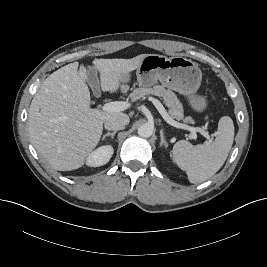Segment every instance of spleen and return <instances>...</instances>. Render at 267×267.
<instances>
[{"mask_svg":"<svg viewBox=\"0 0 267 267\" xmlns=\"http://www.w3.org/2000/svg\"><path fill=\"white\" fill-rule=\"evenodd\" d=\"M233 140V120L229 116H223L218 123L217 136L211 144L194 146L188 141L180 140L173 146V159L186 172L191 183H201L223 166Z\"/></svg>","mask_w":267,"mask_h":267,"instance_id":"spleen-1","label":"spleen"}]
</instances>
